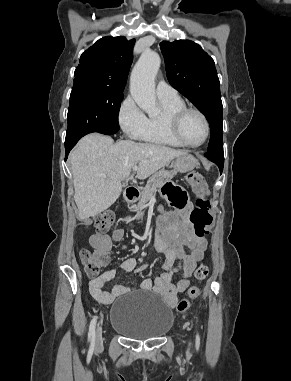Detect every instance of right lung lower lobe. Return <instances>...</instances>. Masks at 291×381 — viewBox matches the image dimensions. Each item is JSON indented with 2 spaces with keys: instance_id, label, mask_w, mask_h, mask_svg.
<instances>
[{
  "instance_id": "right-lung-lower-lobe-1",
  "label": "right lung lower lobe",
  "mask_w": 291,
  "mask_h": 381,
  "mask_svg": "<svg viewBox=\"0 0 291 381\" xmlns=\"http://www.w3.org/2000/svg\"><path fill=\"white\" fill-rule=\"evenodd\" d=\"M118 130H119V127H112V128L106 129V130H102L99 133H102L105 135H111V134H115ZM77 142L78 141L65 142V160H67V157H68L70 150L75 146V144Z\"/></svg>"
}]
</instances>
